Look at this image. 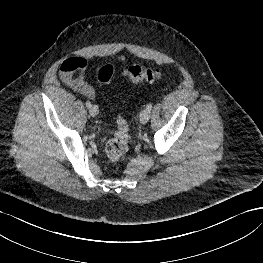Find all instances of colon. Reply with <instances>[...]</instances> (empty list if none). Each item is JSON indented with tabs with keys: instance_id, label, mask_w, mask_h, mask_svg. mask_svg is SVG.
Wrapping results in <instances>:
<instances>
[{
	"instance_id": "5ec220e1",
	"label": "colon",
	"mask_w": 263,
	"mask_h": 263,
	"mask_svg": "<svg viewBox=\"0 0 263 263\" xmlns=\"http://www.w3.org/2000/svg\"><path fill=\"white\" fill-rule=\"evenodd\" d=\"M123 75L132 82H154L162 78L159 69L146 68L140 65H131L123 70ZM114 76V68L111 65L102 66L97 72V78L101 83H109ZM117 130L106 142L105 153L110 161H116L128 150L129 125L126 119L119 115L117 117Z\"/></svg>"
}]
</instances>
